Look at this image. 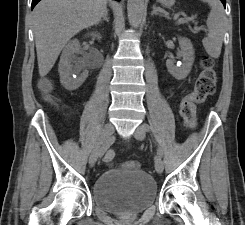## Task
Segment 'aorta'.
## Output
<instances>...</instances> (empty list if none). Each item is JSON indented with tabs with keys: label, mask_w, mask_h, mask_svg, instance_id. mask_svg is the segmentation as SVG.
I'll use <instances>...</instances> for the list:
<instances>
[{
	"label": "aorta",
	"mask_w": 245,
	"mask_h": 225,
	"mask_svg": "<svg viewBox=\"0 0 245 225\" xmlns=\"http://www.w3.org/2000/svg\"><path fill=\"white\" fill-rule=\"evenodd\" d=\"M143 10L144 0H128V19L132 27L138 28L140 26L143 17Z\"/></svg>",
	"instance_id": "obj_1"
}]
</instances>
